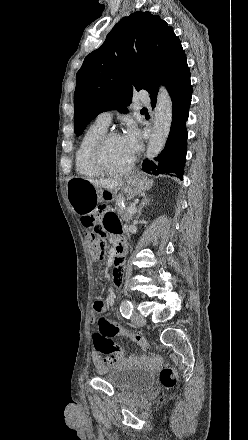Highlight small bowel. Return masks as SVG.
<instances>
[{"label":"small bowel","mask_w":248,"mask_h":440,"mask_svg":"<svg viewBox=\"0 0 248 440\" xmlns=\"http://www.w3.org/2000/svg\"><path fill=\"white\" fill-rule=\"evenodd\" d=\"M102 223L105 229L118 241L121 240L122 235V227L121 223L114 212L106 211L102 217ZM125 264L124 257H115L114 259V268H113V279L114 283L119 286L123 279V266ZM109 285H112V282H109ZM118 290H121V287H118ZM115 299V292L113 289H109L107 293L106 301L98 300L93 305V317H96L102 314L107 306L112 305ZM152 360L151 356H131L129 359H126L125 363H146ZM94 365L97 371L102 372L107 369V366L110 364L107 359L101 358L99 353H95L93 356Z\"/></svg>","instance_id":"small-bowel-1"}]
</instances>
